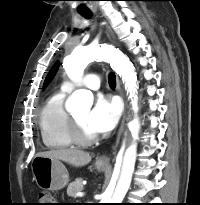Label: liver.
I'll return each instance as SVG.
<instances>
[{
  "mask_svg": "<svg viewBox=\"0 0 200 205\" xmlns=\"http://www.w3.org/2000/svg\"><path fill=\"white\" fill-rule=\"evenodd\" d=\"M36 156L62 160L75 167L85 166L91 161V156L89 153L72 148H60L56 150L39 152Z\"/></svg>",
  "mask_w": 200,
  "mask_h": 205,
  "instance_id": "obj_1",
  "label": "liver"
}]
</instances>
